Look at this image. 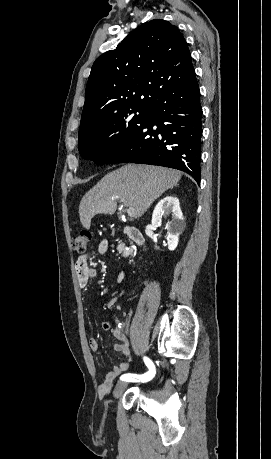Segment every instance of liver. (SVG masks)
Segmentation results:
<instances>
[{
	"label": "liver",
	"instance_id": "obj_1",
	"mask_svg": "<svg viewBox=\"0 0 271 459\" xmlns=\"http://www.w3.org/2000/svg\"><path fill=\"white\" fill-rule=\"evenodd\" d=\"M180 178L181 172L168 168L141 164L122 166L106 174L83 196L79 206L80 222L83 228L90 229L91 220L96 214H115L117 200L125 208H134L137 218H140L154 200L176 186Z\"/></svg>",
	"mask_w": 271,
	"mask_h": 459
}]
</instances>
